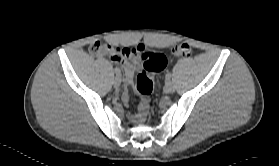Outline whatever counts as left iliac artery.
<instances>
[{"label":"left iliac artery","mask_w":279,"mask_h":166,"mask_svg":"<svg viewBox=\"0 0 279 166\" xmlns=\"http://www.w3.org/2000/svg\"><path fill=\"white\" fill-rule=\"evenodd\" d=\"M170 78H171V74H170V73H167V74H166V79H167V80H170Z\"/></svg>","instance_id":"obj_1"}]
</instances>
